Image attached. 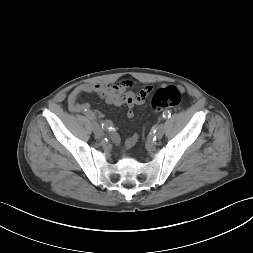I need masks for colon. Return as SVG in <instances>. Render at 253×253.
I'll return each instance as SVG.
<instances>
[{
	"mask_svg": "<svg viewBox=\"0 0 253 253\" xmlns=\"http://www.w3.org/2000/svg\"><path fill=\"white\" fill-rule=\"evenodd\" d=\"M180 103L181 92L175 86L159 88L152 97V107L155 111L177 108Z\"/></svg>",
	"mask_w": 253,
	"mask_h": 253,
	"instance_id": "colon-1",
	"label": "colon"
}]
</instances>
